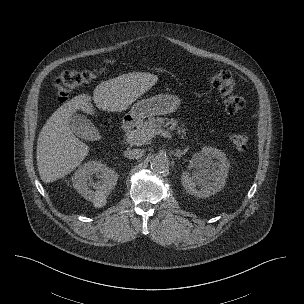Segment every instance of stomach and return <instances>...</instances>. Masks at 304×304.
Wrapping results in <instances>:
<instances>
[{"label": "stomach", "mask_w": 304, "mask_h": 304, "mask_svg": "<svg viewBox=\"0 0 304 304\" xmlns=\"http://www.w3.org/2000/svg\"><path fill=\"white\" fill-rule=\"evenodd\" d=\"M180 103V98L175 95L159 94L135 103L127 116H130L134 122H141L149 116L174 112Z\"/></svg>", "instance_id": "1"}]
</instances>
